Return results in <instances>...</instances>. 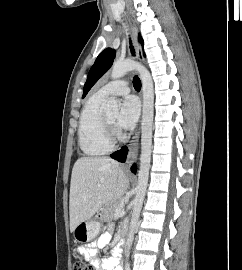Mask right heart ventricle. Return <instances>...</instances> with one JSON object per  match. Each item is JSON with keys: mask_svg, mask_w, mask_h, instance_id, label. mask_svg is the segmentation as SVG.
I'll use <instances>...</instances> for the list:
<instances>
[{"mask_svg": "<svg viewBox=\"0 0 242 270\" xmlns=\"http://www.w3.org/2000/svg\"><path fill=\"white\" fill-rule=\"evenodd\" d=\"M105 98L94 94L87 101L78 128L79 147L85 155L99 156L112 150L105 137L102 104Z\"/></svg>", "mask_w": 242, "mask_h": 270, "instance_id": "1", "label": "right heart ventricle"}]
</instances>
